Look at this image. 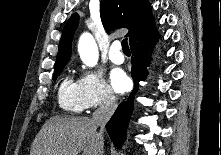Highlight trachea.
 <instances>
[{
    "mask_svg": "<svg viewBox=\"0 0 221 155\" xmlns=\"http://www.w3.org/2000/svg\"><path fill=\"white\" fill-rule=\"evenodd\" d=\"M122 49L124 53H130L127 38L122 40Z\"/></svg>",
    "mask_w": 221,
    "mask_h": 155,
    "instance_id": "1",
    "label": "trachea"
}]
</instances>
